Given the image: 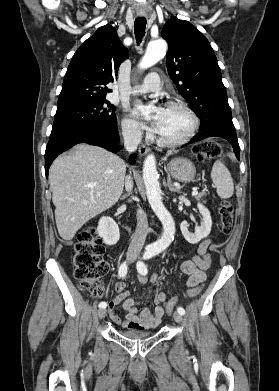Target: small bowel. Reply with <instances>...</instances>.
Masks as SVG:
<instances>
[{"label": "small bowel", "instance_id": "obj_1", "mask_svg": "<svg viewBox=\"0 0 279 391\" xmlns=\"http://www.w3.org/2000/svg\"><path fill=\"white\" fill-rule=\"evenodd\" d=\"M210 239L203 240L197 249V253L190 260H185L180 265V270L188 275L186 280V287L199 286L202 290L203 284L207 278L206 270L209 269L211 263L204 260V254L207 253V249L210 245ZM141 284L147 283L145 276L139 277ZM151 282L155 285L158 284V277L154 274L151 278ZM122 304L125 311V318L121 319L116 314V308ZM167 305V293L159 291L155 295V307L151 311L148 308H144L140 313L136 308V302L133 298L129 297V291L126 289L125 282H118L114 288V295L109 302L108 312L111 320L126 329L132 330H148L156 328L161 324L165 307Z\"/></svg>", "mask_w": 279, "mask_h": 391}]
</instances>
